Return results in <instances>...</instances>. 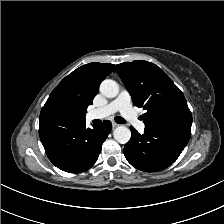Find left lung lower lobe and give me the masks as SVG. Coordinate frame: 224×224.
Here are the masks:
<instances>
[{"instance_id":"0a47b994","label":"left lung lower lobe","mask_w":224,"mask_h":224,"mask_svg":"<svg viewBox=\"0 0 224 224\" xmlns=\"http://www.w3.org/2000/svg\"><path fill=\"white\" fill-rule=\"evenodd\" d=\"M132 136L124 147V155L135 168L146 171H160L176 161L190 135L163 128L145 127L139 134L130 127Z\"/></svg>"}]
</instances>
